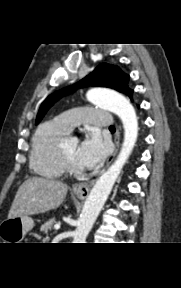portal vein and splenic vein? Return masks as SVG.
I'll return each mask as SVG.
<instances>
[{"label":"portal vein and splenic vein","mask_w":181,"mask_h":288,"mask_svg":"<svg viewBox=\"0 0 181 288\" xmlns=\"http://www.w3.org/2000/svg\"><path fill=\"white\" fill-rule=\"evenodd\" d=\"M54 229H55V230L60 229V225H59V224L54 225Z\"/></svg>","instance_id":"obj_1"}]
</instances>
